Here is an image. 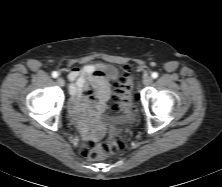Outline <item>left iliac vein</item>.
<instances>
[{
    "label": "left iliac vein",
    "instance_id": "obj_1",
    "mask_svg": "<svg viewBox=\"0 0 222 187\" xmlns=\"http://www.w3.org/2000/svg\"><path fill=\"white\" fill-rule=\"evenodd\" d=\"M142 82L145 86H149L152 83V77L147 75L143 78Z\"/></svg>",
    "mask_w": 222,
    "mask_h": 187
}]
</instances>
